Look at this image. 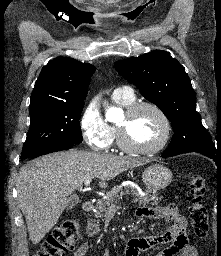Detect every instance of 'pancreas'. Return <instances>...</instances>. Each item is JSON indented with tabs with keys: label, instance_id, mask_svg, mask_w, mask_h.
Returning <instances> with one entry per match:
<instances>
[{
	"label": "pancreas",
	"instance_id": "cf45deb5",
	"mask_svg": "<svg viewBox=\"0 0 221 256\" xmlns=\"http://www.w3.org/2000/svg\"><path fill=\"white\" fill-rule=\"evenodd\" d=\"M150 190V189H149ZM146 190L147 195L142 196L135 191L133 188L131 190H127L126 193L133 195V203H138L139 205H146V204H157L158 201L161 199L158 197L156 193L150 195V191ZM124 195L122 190V186L116 185L106 194L105 199H100L96 205V211L94 213L95 219H89L87 221V233L92 235L93 233H97L99 231V219H104L107 215L108 210L112 207L113 202L119 200ZM93 232V233H92Z\"/></svg>",
	"mask_w": 221,
	"mask_h": 256
}]
</instances>
